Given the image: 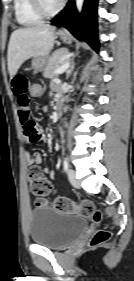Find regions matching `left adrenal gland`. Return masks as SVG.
Returning a JSON list of instances; mask_svg holds the SVG:
<instances>
[{"mask_svg": "<svg viewBox=\"0 0 134 281\" xmlns=\"http://www.w3.org/2000/svg\"><path fill=\"white\" fill-rule=\"evenodd\" d=\"M74 67H75V63L72 62V64L70 65V67L67 70V79L69 78L70 74L72 73Z\"/></svg>", "mask_w": 134, "mask_h": 281, "instance_id": "left-adrenal-gland-1", "label": "left adrenal gland"}]
</instances>
